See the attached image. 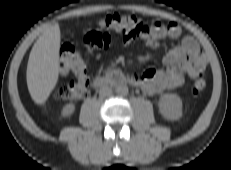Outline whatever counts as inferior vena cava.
Here are the masks:
<instances>
[{"mask_svg": "<svg viewBox=\"0 0 231 170\" xmlns=\"http://www.w3.org/2000/svg\"><path fill=\"white\" fill-rule=\"evenodd\" d=\"M100 97H110L112 95V89L109 86H103L99 90Z\"/></svg>", "mask_w": 231, "mask_h": 170, "instance_id": "602c4592", "label": "inferior vena cava"}]
</instances>
